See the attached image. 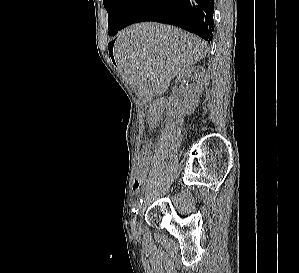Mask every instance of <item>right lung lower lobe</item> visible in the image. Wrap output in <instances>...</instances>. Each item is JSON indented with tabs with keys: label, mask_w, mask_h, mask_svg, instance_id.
<instances>
[{
	"label": "right lung lower lobe",
	"mask_w": 299,
	"mask_h": 273,
	"mask_svg": "<svg viewBox=\"0 0 299 273\" xmlns=\"http://www.w3.org/2000/svg\"><path fill=\"white\" fill-rule=\"evenodd\" d=\"M214 0H134L120 29L137 22L155 21L178 26L210 42Z\"/></svg>",
	"instance_id": "obj_1"
}]
</instances>
